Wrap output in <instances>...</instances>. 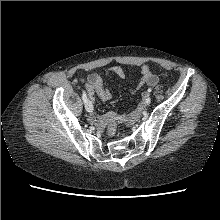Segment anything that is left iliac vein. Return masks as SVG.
Returning <instances> with one entry per match:
<instances>
[{"label":"left iliac vein","instance_id":"1","mask_svg":"<svg viewBox=\"0 0 220 220\" xmlns=\"http://www.w3.org/2000/svg\"><path fill=\"white\" fill-rule=\"evenodd\" d=\"M147 99L151 100V98L148 96ZM150 103L145 102V105H148Z\"/></svg>","mask_w":220,"mask_h":220}]
</instances>
